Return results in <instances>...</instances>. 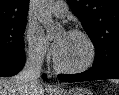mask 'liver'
<instances>
[{
	"label": "liver",
	"instance_id": "6515ba94",
	"mask_svg": "<svg viewBox=\"0 0 119 95\" xmlns=\"http://www.w3.org/2000/svg\"><path fill=\"white\" fill-rule=\"evenodd\" d=\"M18 76L0 77V95H44V89L39 82L30 89L20 83Z\"/></svg>",
	"mask_w": 119,
	"mask_h": 95
}]
</instances>
